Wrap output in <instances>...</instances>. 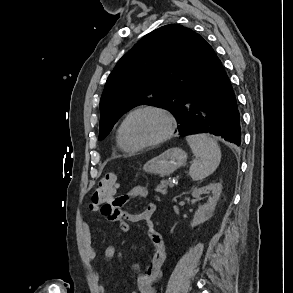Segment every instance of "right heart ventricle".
Returning <instances> with one entry per match:
<instances>
[{
  "mask_svg": "<svg viewBox=\"0 0 293 293\" xmlns=\"http://www.w3.org/2000/svg\"><path fill=\"white\" fill-rule=\"evenodd\" d=\"M116 143H117L118 147H119L122 151H124V152H134L133 150L127 148V147L124 145V143H123V141H122V139H121V135H120V126H119V127L117 128V130H116Z\"/></svg>",
  "mask_w": 293,
  "mask_h": 293,
  "instance_id": "e07e8e85",
  "label": "right heart ventricle"
}]
</instances>
